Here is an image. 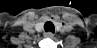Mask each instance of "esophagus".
Returning <instances> with one entry per match:
<instances>
[{
    "label": "esophagus",
    "mask_w": 97,
    "mask_h": 48,
    "mask_svg": "<svg viewBox=\"0 0 97 48\" xmlns=\"http://www.w3.org/2000/svg\"><path fill=\"white\" fill-rule=\"evenodd\" d=\"M44 36L47 37V38H53L54 37V34L51 33V32H45L44 33Z\"/></svg>",
    "instance_id": "34e87169"
}]
</instances>
